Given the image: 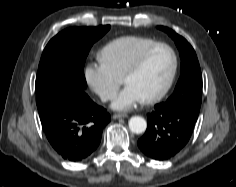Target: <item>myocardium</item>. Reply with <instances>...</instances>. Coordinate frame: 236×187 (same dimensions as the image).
Listing matches in <instances>:
<instances>
[{
	"label": "myocardium",
	"instance_id": "f54148a6",
	"mask_svg": "<svg viewBox=\"0 0 236 187\" xmlns=\"http://www.w3.org/2000/svg\"><path fill=\"white\" fill-rule=\"evenodd\" d=\"M158 48H165L167 49L172 57V67H171V71L169 74V77L165 83V85L162 87V89L157 92L156 94L147 97L145 99H142V102L145 104H151V103H155L160 101L162 98L165 97V95L169 92V90L171 89L176 74H177V70H178V55L175 51V49L164 42H156L150 46H148L147 48H145L144 50H142L138 56L135 58V60L132 62V64L130 65V67L125 71L123 77H122V81L123 83H125L126 79H128L129 77L135 75L143 66V64L145 63L147 57L156 49Z\"/></svg>",
	"mask_w": 236,
	"mask_h": 187
}]
</instances>
